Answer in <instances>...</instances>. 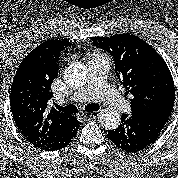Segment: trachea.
Wrapping results in <instances>:
<instances>
[{"label": "trachea", "mask_w": 178, "mask_h": 178, "mask_svg": "<svg viewBox=\"0 0 178 178\" xmlns=\"http://www.w3.org/2000/svg\"><path fill=\"white\" fill-rule=\"evenodd\" d=\"M56 108L64 113L67 114H76L78 113V109L76 106L74 105H67L65 107L56 105ZM100 109V105L99 104H89L85 106V110L88 112H93V111H98Z\"/></svg>", "instance_id": "trachea-1"}]
</instances>
